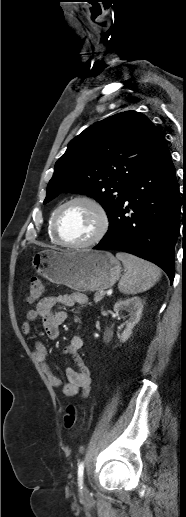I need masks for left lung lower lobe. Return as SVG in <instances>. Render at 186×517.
<instances>
[{"mask_svg": "<svg viewBox=\"0 0 186 517\" xmlns=\"http://www.w3.org/2000/svg\"><path fill=\"white\" fill-rule=\"evenodd\" d=\"M180 213L179 185L164 139L129 182L124 202L109 219V230L94 249H116L149 260L162 268L172 283Z\"/></svg>", "mask_w": 186, "mask_h": 517, "instance_id": "1", "label": "left lung lower lobe"}]
</instances>
